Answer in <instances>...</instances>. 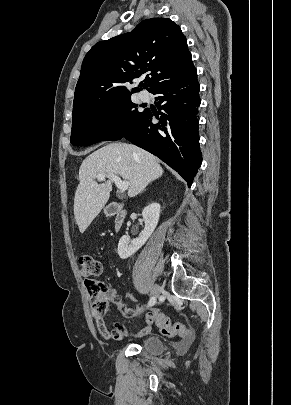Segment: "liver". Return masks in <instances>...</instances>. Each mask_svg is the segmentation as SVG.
Instances as JSON below:
<instances>
[{
    "instance_id": "6515ba94",
    "label": "liver",
    "mask_w": 291,
    "mask_h": 405,
    "mask_svg": "<svg viewBox=\"0 0 291 405\" xmlns=\"http://www.w3.org/2000/svg\"><path fill=\"white\" fill-rule=\"evenodd\" d=\"M97 174L108 180L98 184ZM109 174L119 175L129 183L128 196L135 197L163 174L158 159L132 144L111 143L87 156L79 169V184L74 198V216L81 233L107 203L112 191Z\"/></svg>"
}]
</instances>
